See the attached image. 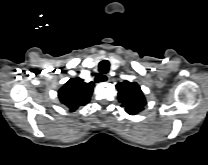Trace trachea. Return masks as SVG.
<instances>
[{
	"instance_id": "trachea-1",
	"label": "trachea",
	"mask_w": 208,
	"mask_h": 165,
	"mask_svg": "<svg viewBox=\"0 0 208 165\" xmlns=\"http://www.w3.org/2000/svg\"><path fill=\"white\" fill-rule=\"evenodd\" d=\"M110 68V63L108 60H103L99 63V72L102 74H106L108 73ZM97 81L99 82V80L97 79Z\"/></svg>"
}]
</instances>
